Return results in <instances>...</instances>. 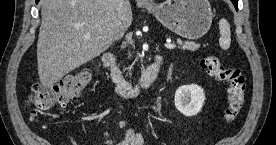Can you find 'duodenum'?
Segmentation results:
<instances>
[{
    "label": "duodenum",
    "mask_w": 276,
    "mask_h": 145,
    "mask_svg": "<svg viewBox=\"0 0 276 145\" xmlns=\"http://www.w3.org/2000/svg\"><path fill=\"white\" fill-rule=\"evenodd\" d=\"M103 63L110 71L111 78L117 85L119 95L126 99H134L142 90L148 89L158 82L157 75L163 63V56L156 55L140 80L134 84L125 79L121 70L116 66L115 58L112 54L106 53L103 56Z\"/></svg>",
    "instance_id": "410a0bca"
}]
</instances>
